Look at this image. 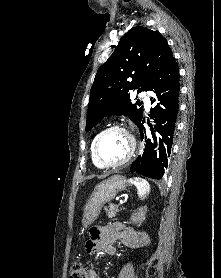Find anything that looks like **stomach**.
Instances as JSON below:
<instances>
[{"mask_svg": "<svg viewBox=\"0 0 221 278\" xmlns=\"http://www.w3.org/2000/svg\"><path fill=\"white\" fill-rule=\"evenodd\" d=\"M127 187V181L123 176L113 175L105 181L99 183L92 192L83 211V227L87 228L99 216L101 208L115 196L124 191Z\"/></svg>", "mask_w": 221, "mask_h": 278, "instance_id": "obj_1", "label": "stomach"}]
</instances>
